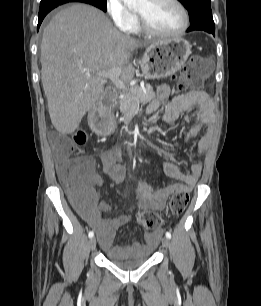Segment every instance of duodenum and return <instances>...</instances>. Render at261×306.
Instances as JSON below:
<instances>
[{"label": "duodenum", "instance_id": "duodenum-1", "mask_svg": "<svg viewBox=\"0 0 261 306\" xmlns=\"http://www.w3.org/2000/svg\"><path fill=\"white\" fill-rule=\"evenodd\" d=\"M117 100V91L113 87H107L104 97L100 101V109H109L111 108L115 101Z\"/></svg>", "mask_w": 261, "mask_h": 306}]
</instances>
